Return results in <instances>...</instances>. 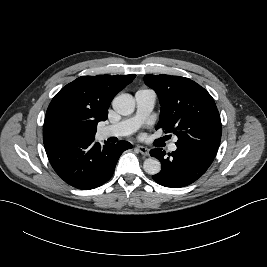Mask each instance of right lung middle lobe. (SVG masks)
Returning <instances> with one entry per match:
<instances>
[{
    "label": "right lung middle lobe",
    "mask_w": 267,
    "mask_h": 267,
    "mask_svg": "<svg viewBox=\"0 0 267 267\" xmlns=\"http://www.w3.org/2000/svg\"><path fill=\"white\" fill-rule=\"evenodd\" d=\"M78 137L77 132L74 129H69L66 134L67 140H75Z\"/></svg>",
    "instance_id": "right-lung-middle-lobe-1"
}]
</instances>
